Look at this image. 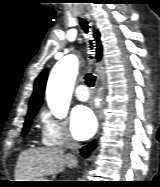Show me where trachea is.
Instances as JSON below:
<instances>
[{"label":"trachea","instance_id":"trachea-1","mask_svg":"<svg viewBox=\"0 0 160 187\" xmlns=\"http://www.w3.org/2000/svg\"><path fill=\"white\" fill-rule=\"evenodd\" d=\"M80 25L85 33L89 32L90 26L88 25V22L85 19H79ZM91 48H93L92 42L90 41ZM96 77L92 73H87L85 75V82L89 87H93L95 84Z\"/></svg>","mask_w":160,"mask_h":187}]
</instances>
